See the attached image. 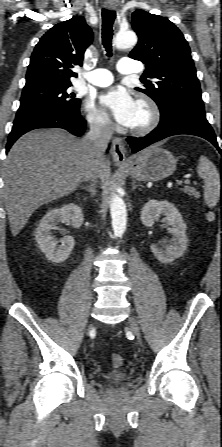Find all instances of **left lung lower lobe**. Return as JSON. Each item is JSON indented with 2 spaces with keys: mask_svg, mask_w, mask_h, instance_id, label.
Listing matches in <instances>:
<instances>
[{
  "mask_svg": "<svg viewBox=\"0 0 222 447\" xmlns=\"http://www.w3.org/2000/svg\"><path fill=\"white\" fill-rule=\"evenodd\" d=\"M160 114L159 125L148 135L141 138H127L133 153L166 137L178 134H189L210 141L222 154L216 141L215 133L208 123L204 111L196 110L189 106L174 104Z\"/></svg>",
  "mask_w": 222,
  "mask_h": 447,
  "instance_id": "1",
  "label": "left lung lower lobe"
}]
</instances>
